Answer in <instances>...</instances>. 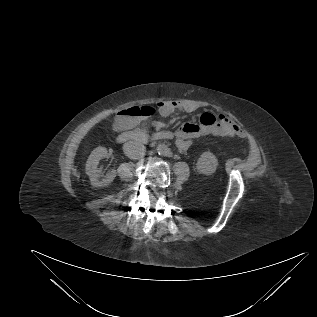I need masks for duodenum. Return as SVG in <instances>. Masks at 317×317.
I'll list each match as a JSON object with an SVG mask.
<instances>
[{"label": "duodenum", "mask_w": 317, "mask_h": 317, "mask_svg": "<svg viewBox=\"0 0 317 317\" xmlns=\"http://www.w3.org/2000/svg\"><path fill=\"white\" fill-rule=\"evenodd\" d=\"M173 138L171 131L163 130L152 134H147L142 131H124L117 136L119 142H135L140 144H147L149 142H157L163 140H170Z\"/></svg>", "instance_id": "obj_1"}]
</instances>
